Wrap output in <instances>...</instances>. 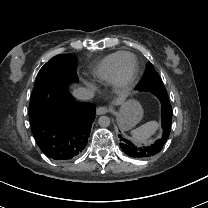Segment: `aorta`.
Instances as JSON below:
<instances>
[{
    "label": "aorta",
    "mask_w": 208,
    "mask_h": 208,
    "mask_svg": "<svg viewBox=\"0 0 208 208\" xmlns=\"http://www.w3.org/2000/svg\"><path fill=\"white\" fill-rule=\"evenodd\" d=\"M98 123L101 127H108L111 123L110 118L107 116H101L98 120Z\"/></svg>",
    "instance_id": "762f6f07"
}]
</instances>
